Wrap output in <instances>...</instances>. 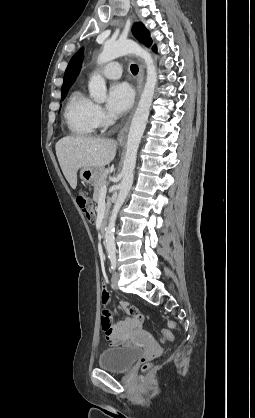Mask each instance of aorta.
<instances>
[{
    "mask_svg": "<svg viewBox=\"0 0 255 418\" xmlns=\"http://www.w3.org/2000/svg\"><path fill=\"white\" fill-rule=\"evenodd\" d=\"M126 54H135L144 60L147 77L129 129L118 197L109 218L108 226L105 229V245L109 256H114L116 252L114 237L116 218L133 184L137 151L146 127L157 83L156 67L151 54L132 40L105 42L103 50L98 57V64L107 63ZM89 93L96 102H104L106 100L107 88L105 80L101 75H95L91 78Z\"/></svg>",
    "mask_w": 255,
    "mask_h": 418,
    "instance_id": "762f6f07",
    "label": "aorta"
}]
</instances>
